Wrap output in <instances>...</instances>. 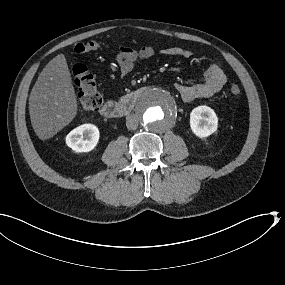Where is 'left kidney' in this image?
<instances>
[{
    "label": "left kidney",
    "mask_w": 285,
    "mask_h": 285,
    "mask_svg": "<svg viewBox=\"0 0 285 285\" xmlns=\"http://www.w3.org/2000/svg\"><path fill=\"white\" fill-rule=\"evenodd\" d=\"M189 124L196 137L205 139L217 131L218 117L212 108L201 105L191 111Z\"/></svg>",
    "instance_id": "1"
}]
</instances>
